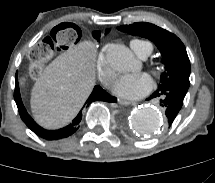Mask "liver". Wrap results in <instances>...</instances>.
Listing matches in <instances>:
<instances>
[{
  "instance_id": "1",
  "label": "liver",
  "mask_w": 215,
  "mask_h": 183,
  "mask_svg": "<svg viewBox=\"0 0 215 183\" xmlns=\"http://www.w3.org/2000/svg\"><path fill=\"white\" fill-rule=\"evenodd\" d=\"M96 48L84 41L59 55L40 74L31 93L35 121L58 129L77 115L95 85Z\"/></svg>"
}]
</instances>
